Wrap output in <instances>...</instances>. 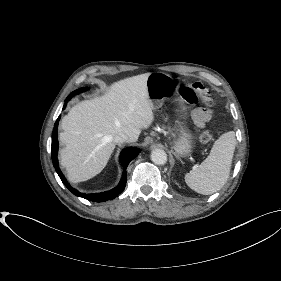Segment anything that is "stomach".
Instances as JSON below:
<instances>
[{"instance_id":"stomach-1","label":"stomach","mask_w":281,"mask_h":281,"mask_svg":"<svg viewBox=\"0 0 281 281\" xmlns=\"http://www.w3.org/2000/svg\"><path fill=\"white\" fill-rule=\"evenodd\" d=\"M177 83L169 74L163 72L150 73L147 80L148 99L152 109H158L163 102L169 99ZM178 123L177 138L174 141V150L180 156H186L191 152L193 145V135L183 125Z\"/></svg>"}]
</instances>
